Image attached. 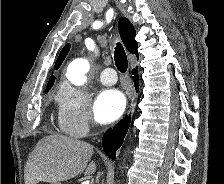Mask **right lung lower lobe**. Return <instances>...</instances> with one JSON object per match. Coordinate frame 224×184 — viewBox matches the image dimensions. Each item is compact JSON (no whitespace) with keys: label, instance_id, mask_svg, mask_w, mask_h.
Returning <instances> with one entry per match:
<instances>
[{"label":"right lung lower lobe","instance_id":"1","mask_svg":"<svg viewBox=\"0 0 224 184\" xmlns=\"http://www.w3.org/2000/svg\"><path fill=\"white\" fill-rule=\"evenodd\" d=\"M132 75L135 89L138 91L139 89V76L137 74V70H132ZM131 118L129 116L124 117L113 129L108 130L102 139L103 150L110 157L116 158V151L122 145L125 135L128 131L130 125Z\"/></svg>","mask_w":224,"mask_h":184}]
</instances>
